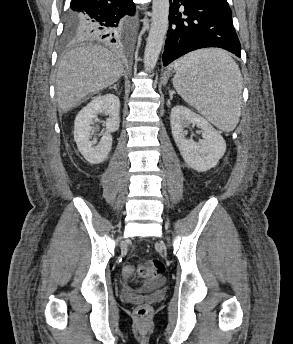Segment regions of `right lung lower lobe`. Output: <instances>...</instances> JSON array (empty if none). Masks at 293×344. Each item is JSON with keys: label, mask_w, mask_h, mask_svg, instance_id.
<instances>
[{"label": "right lung lower lobe", "mask_w": 293, "mask_h": 344, "mask_svg": "<svg viewBox=\"0 0 293 344\" xmlns=\"http://www.w3.org/2000/svg\"><path fill=\"white\" fill-rule=\"evenodd\" d=\"M71 11L85 17L82 40L120 43L135 12L132 0H72Z\"/></svg>", "instance_id": "obj_1"}]
</instances>
